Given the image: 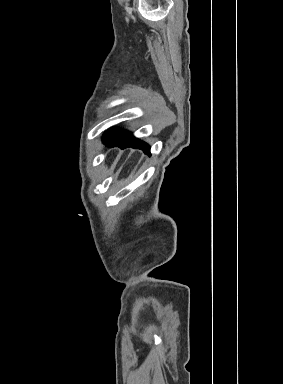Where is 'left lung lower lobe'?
Returning a JSON list of instances; mask_svg holds the SVG:
<instances>
[{"label": "left lung lower lobe", "mask_w": 283, "mask_h": 384, "mask_svg": "<svg viewBox=\"0 0 283 384\" xmlns=\"http://www.w3.org/2000/svg\"><path fill=\"white\" fill-rule=\"evenodd\" d=\"M103 141L111 147L118 146L121 149H125L127 147L138 148L150 155V147L145 142L136 139L126 131L110 129L105 133Z\"/></svg>", "instance_id": "obj_1"}]
</instances>
